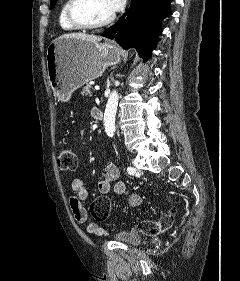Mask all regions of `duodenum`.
I'll list each match as a JSON object with an SVG mask.
<instances>
[{
	"label": "duodenum",
	"instance_id": "duodenum-1",
	"mask_svg": "<svg viewBox=\"0 0 240 281\" xmlns=\"http://www.w3.org/2000/svg\"><path fill=\"white\" fill-rule=\"evenodd\" d=\"M93 116L97 120H102L103 119V112H102V110H100L98 108L94 109Z\"/></svg>",
	"mask_w": 240,
	"mask_h": 281
}]
</instances>
